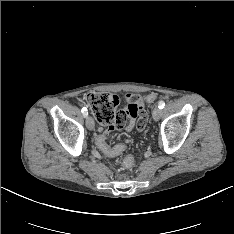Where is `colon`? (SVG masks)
I'll use <instances>...</instances> for the list:
<instances>
[{
    "label": "colon",
    "mask_w": 234,
    "mask_h": 234,
    "mask_svg": "<svg viewBox=\"0 0 234 234\" xmlns=\"http://www.w3.org/2000/svg\"><path fill=\"white\" fill-rule=\"evenodd\" d=\"M145 100L148 103L159 102L160 96L148 94ZM83 102L91 108L96 119L100 123L105 124L104 128L97 129V135L94 138L96 147H98L105 156L110 158L120 156V154L127 149V146L122 142H119L117 145H110L107 142L116 129L122 128L127 120L122 111H116L118 105L117 96L105 92L88 93L83 97ZM134 163V157L127 156L123 161V167L131 169Z\"/></svg>",
    "instance_id": "obj_1"
}]
</instances>
